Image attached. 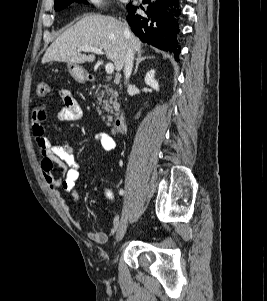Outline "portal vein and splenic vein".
I'll return each mask as SVG.
<instances>
[{
    "instance_id": "1",
    "label": "portal vein and splenic vein",
    "mask_w": 267,
    "mask_h": 301,
    "mask_svg": "<svg viewBox=\"0 0 267 301\" xmlns=\"http://www.w3.org/2000/svg\"><path fill=\"white\" fill-rule=\"evenodd\" d=\"M78 51H84V52H93L95 54H102V50L96 47L92 46H82L78 48ZM105 71L108 74H112L114 72V65L112 63H107L105 66Z\"/></svg>"
}]
</instances>
